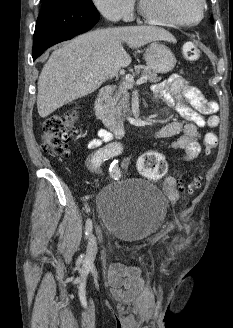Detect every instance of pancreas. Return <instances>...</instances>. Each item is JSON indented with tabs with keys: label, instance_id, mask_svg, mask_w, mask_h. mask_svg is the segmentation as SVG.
Masks as SVG:
<instances>
[{
	"label": "pancreas",
	"instance_id": "pancreas-1",
	"mask_svg": "<svg viewBox=\"0 0 233 328\" xmlns=\"http://www.w3.org/2000/svg\"><path fill=\"white\" fill-rule=\"evenodd\" d=\"M140 72L141 75L146 77L151 83H156L161 80V77L149 67L138 66L135 75H138ZM107 107L112 117L119 121H123V118L126 117L129 111V93L126 83L120 84L116 93L109 98Z\"/></svg>",
	"mask_w": 233,
	"mask_h": 328
}]
</instances>
